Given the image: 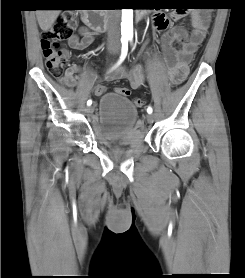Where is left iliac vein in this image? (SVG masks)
<instances>
[{
	"label": "left iliac vein",
	"instance_id": "1",
	"mask_svg": "<svg viewBox=\"0 0 245 278\" xmlns=\"http://www.w3.org/2000/svg\"><path fill=\"white\" fill-rule=\"evenodd\" d=\"M154 119H155V117L153 114H147L146 120L149 124L153 123Z\"/></svg>",
	"mask_w": 245,
	"mask_h": 278
}]
</instances>
